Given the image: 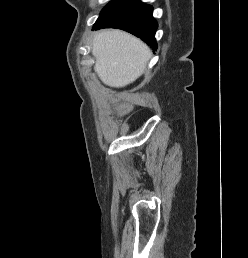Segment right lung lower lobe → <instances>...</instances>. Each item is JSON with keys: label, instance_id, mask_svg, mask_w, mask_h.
Here are the masks:
<instances>
[{"label": "right lung lower lobe", "instance_id": "right-lung-lower-lobe-1", "mask_svg": "<svg viewBox=\"0 0 248 258\" xmlns=\"http://www.w3.org/2000/svg\"><path fill=\"white\" fill-rule=\"evenodd\" d=\"M153 8L141 0H120L110 11L100 17L93 30L118 28L141 38L154 50L157 49L155 32L158 24L152 16Z\"/></svg>", "mask_w": 248, "mask_h": 258}]
</instances>
